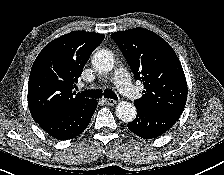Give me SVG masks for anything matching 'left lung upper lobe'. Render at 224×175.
Listing matches in <instances>:
<instances>
[{
    "instance_id": "1",
    "label": "left lung upper lobe",
    "mask_w": 224,
    "mask_h": 175,
    "mask_svg": "<svg viewBox=\"0 0 224 175\" xmlns=\"http://www.w3.org/2000/svg\"><path fill=\"white\" fill-rule=\"evenodd\" d=\"M111 37L136 80L144 83V94L135 101V106L180 116L187 100V83L181 63L170 45L143 28L118 31Z\"/></svg>"
}]
</instances>
